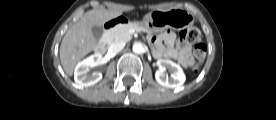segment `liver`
<instances>
[{
  "instance_id": "liver-1",
  "label": "liver",
  "mask_w": 276,
  "mask_h": 120,
  "mask_svg": "<svg viewBox=\"0 0 276 120\" xmlns=\"http://www.w3.org/2000/svg\"><path fill=\"white\" fill-rule=\"evenodd\" d=\"M121 14L119 10H90L68 29L60 46V60L67 75L71 76L75 65L96 47L92 27L101 26Z\"/></svg>"
}]
</instances>
